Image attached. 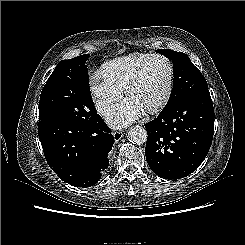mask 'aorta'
<instances>
[{
    "mask_svg": "<svg viewBox=\"0 0 245 245\" xmlns=\"http://www.w3.org/2000/svg\"><path fill=\"white\" fill-rule=\"evenodd\" d=\"M128 139L133 144H144L147 141V131L141 126H134L128 131Z\"/></svg>",
    "mask_w": 245,
    "mask_h": 245,
    "instance_id": "obj_1",
    "label": "aorta"
}]
</instances>
